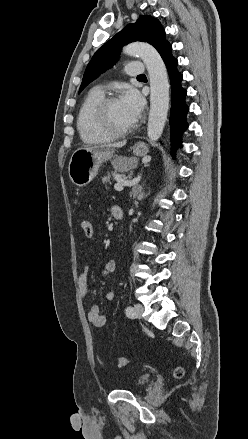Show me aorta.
<instances>
[{
    "label": "aorta",
    "mask_w": 248,
    "mask_h": 439,
    "mask_svg": "<svg viewBox=\"0 0 248 439\" xmlns=\"http://www.w3.org/2000/svg\"><path fill=\"white\" fill-rule=\"evenodd\" d=\"M123 52L129 56H139L146 65L150 79V112L147 135L151 141L160 138L169 109V82L165 64L151 45L134 42L124 47Z\"/></svg>",
    "instance_id": "1"
}]
</instances>
